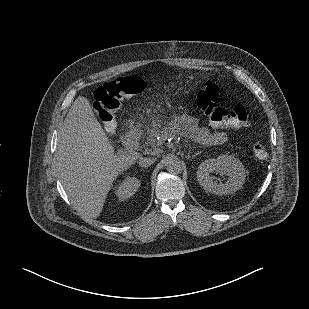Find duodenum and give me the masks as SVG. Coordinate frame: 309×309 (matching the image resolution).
<instances>
[{
  "mask_svg": "<svg viewBox=\"0 0 309 309\" xmlns=\"http://www.w3.org/2000/svg\"><path fill=\"white\" fill-rule=\"evenodd\" d=\"M142 131L137 126H132L124 135V146L127 148H133L140 140Z\"/></svg>",
  "mask_w": 309,
  "mask_h": 309,
  "instance_id": "duodenum-1",
  "label": "duodenum"
}]
</instances>
